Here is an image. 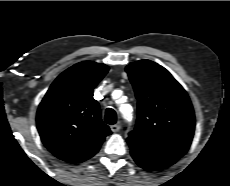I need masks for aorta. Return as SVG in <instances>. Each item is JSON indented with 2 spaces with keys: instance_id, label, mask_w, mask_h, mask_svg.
<instances>
[{
  "instance_id": "762f6f07",
  "label": "aorta",
  "mask_w": 230,
  "mask_h": 186,
  "mask_svg": "<svg viewBox=\"0 0 230 186\" xmlns=\"http://www.w3.org/2000/svg\"><path fill=\"white\" fill-rule=\"evenodd\" d=\"M120 111H121V113L123 114V116L125 117V118H128V117H130V113H131V109H130V107L129 106H124V107H121L120 108Z\"/></svg>"
}]
</instances>
